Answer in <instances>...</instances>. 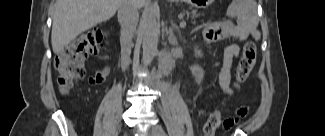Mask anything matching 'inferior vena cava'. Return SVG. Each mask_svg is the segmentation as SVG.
Instances as JSON below:
<instances>
[{"mask_svg": "<svg viewBox=\"0 0 325 136\" xmlns=\"http://www.w3.org/2000/svg\"><path fill=\"white\" fill-rule=\"evenodd\" d=\"M139 0H122L118 8V19L123 29V41L121 42L122 67L125 70L130 61L131 36L138 23Z\"/></svg>", "mask_w": 325, "mask_h": 136, "instance_id": "inferior-vena-cava-1", "label": "inferior vena cava"}]
</instances>
